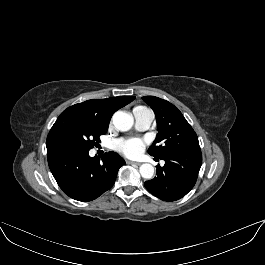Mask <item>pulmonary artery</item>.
<instances>
[{"instance_id": "pulmonary-artery-1", "label": "pulmonary artery", "mask_w": 265, "mask_h": 265, "mask_svg": "<svg viewBox=\"0 0 265 265\" xmlns=\"http://www.w3.org/2000/svg\"><path fill=\"white\" fill-rule=\"evenodd\" d=\"M135 126L138 130H147L152 123V114L146 108H141L133 112Z\"/></svg>"}]
</instances>
